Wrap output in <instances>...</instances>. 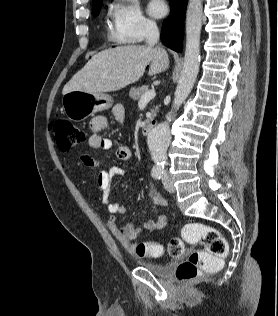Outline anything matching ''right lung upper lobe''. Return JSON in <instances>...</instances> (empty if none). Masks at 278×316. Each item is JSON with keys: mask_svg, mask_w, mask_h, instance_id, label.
Returning <instances> with one entry per match:
<instances>
[{"mask_svg": "<svg viewBox=\"0 0 278 316\" xmlns=\"http://www.w3.org/2000/svg\"><path fill=\"white\" fill-rule=\"evenodd\" d=\"M100 1H102V0H92L93 6L96 5V4H98Z\"/></svg>", "mask_w": 278, "mask_h": 316, "instance_id": "1", "label": "right lung upper lobe"}]
</instances>
